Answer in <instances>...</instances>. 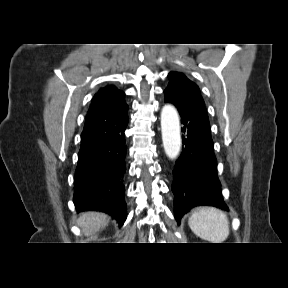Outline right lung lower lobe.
Returning <instances> with one entry per match:
<instances>
[{"mask_svg": "<svg viewBox=\"0 0 288 288\" xmlns=\"http://www.w3.org/2000/svg\"><path fill=\"white\" fill-rule=\"evenodd\" d=\"M128 124V123H127ZM127 124L111 139L80 149L73 202L78 212L96 210L112 216L120 226L127 218L124 177Z\"/></svg>", "mask_w": 288, "mask_h": 288, "instance_id": "1", "label": "right lung lower lobe"}]
</instances>
